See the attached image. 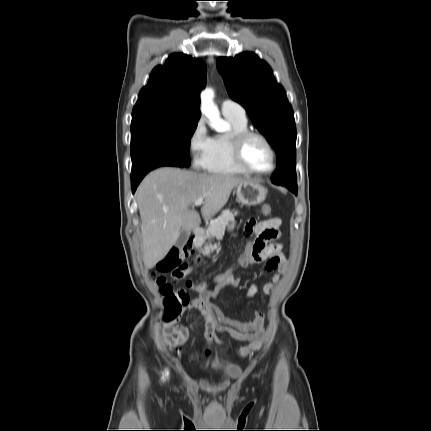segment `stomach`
I'll use <instances>...</instances> for the list:
<instances>
[{"label": "stomach", "mask_w": 431, "mask_h": 431, "mask_svg": "<svg viewBox=\"0 0 431 431\" xmlns=\"http://www.w3.org/2000/svg\"><path fill=\"white\" fill-rule=\"evenodd\" d=\"M267 194V189L253 180H246L236 186L237 201L247 206H255L261 204ZM235 222L232 221L229 225V230H232Z\"/></svg>", "instance_id": "1"}]
</instances>
